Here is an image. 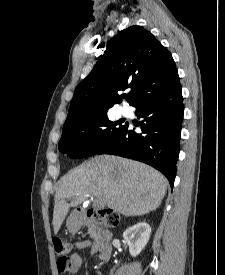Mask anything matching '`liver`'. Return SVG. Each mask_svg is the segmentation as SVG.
Instances as JSON below:
<instances>
[{"label":"liver","mask_w":225,"mask_h":275,"mask_svg":"<svg viewBox=\"0 0 225 275\" xmlns=\"http://www.w3.org/2000/svg\"><path fill=\"white\" fill-rule=\"evenodd\" d=\"M167 186V179L146 164L111 155L92 157L60 179L54 195V233L70 207L88 197L124 216H141L160 206Z\"/></svg>","instance_id":"liver-1"}]
</instances>
